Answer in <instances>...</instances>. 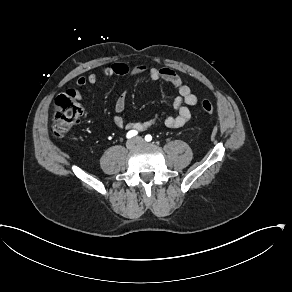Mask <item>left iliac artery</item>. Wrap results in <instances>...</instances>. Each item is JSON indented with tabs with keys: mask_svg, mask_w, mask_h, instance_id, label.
<instances>
[{
	"mask_svg": "<svg viewBox=\"0 0 292 292\" xmlns=\"http://www.w3.org/2000/svg\"><path fill=\"white\" fill-rule=\"evenodd\" d=\"M145 140H146L147 142H150V141L152 140V136H151L150 134H147V135L145 136Z\"/></svg>",
	"mask_w": 292,
	"mask_h": 292,
	"instance_id": "left-iliac-artery-1",
	"label": "left iliac artery"
}]
</instances>
